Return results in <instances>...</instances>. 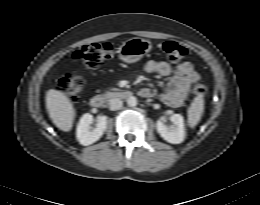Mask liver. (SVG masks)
<instances>
[{
    "label": "liver",
    "mask_w": 260,
    "mask_h": 205,
    "mask_svg": "<svg viewBox=\"0 0 260 205\" xmlns=\"http://www.w3.org/2000/svg\"><path fill=\"white\" fill-rule=\"evenodd\" d=\"M46 108L57 128L69 132L73 126L75 109L68 97L59 90L50 89L46 93Z\"/></svg>",
    "instance_id": "liver-1"
}]
</instances>
